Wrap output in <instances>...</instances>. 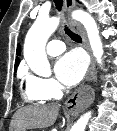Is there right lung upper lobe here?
<instances>
[{
	"instance_id": "cb5924a9",
	"label": "right lung upper lobe",
	"mask_w": 117,
	"mask_h": 131,
	"mask_svg": "<svg viewBox=\"0 0 117 131\" xmlns=\"http://www.w3.org/2000/svg\"><path fill=\"white\" fill-rule=\"evenodd\" d=\"M20 52H21L20 45H18L17 52H16L17 56H20ZM19 62H20V60L18 58H16L15 68L18 66Z\"/></svg>"
}]
</instances>
